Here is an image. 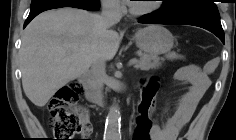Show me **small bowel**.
Segmentation results:
<instances>
[{"instance_id":"1","label":"small bowel","mask_w":236,"mask_h":140,"mask_svg":"<svg viewBox=\"0 0 236 140\" xmlns=\"http://www.w3.org/2000/svg\"><path fill=\"white\" fill-rule=\"evenodd\" d=\"M212 70L213 63H208L204 68L187 64L176 71L175 78L181 84L188 86L187 92L178 99L172 113L162 125H152L151 140H176L178 138L180 132L194 115L201 98L210 87L209 74ZM92 132L93 127L86 119L81 136L89 138Z\"/></svg>"}]
</instances>
